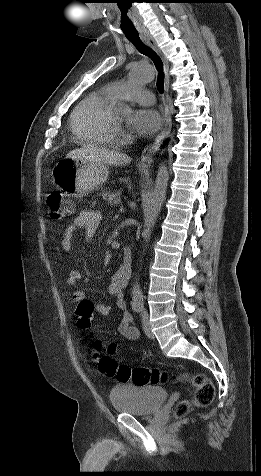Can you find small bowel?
Returning a JSON list of instances; mask_svg holds the SVG:
<instances>
[{"instance_id": "small-bowel-1", "label": "small bowel", "mask_w": 261, "mask_h": 476, "mask_svg": "<svg viewBox=\"0 0 261 476\" xmlns=\"http://www.w3.org/2000/svg\"><path fill=\"white\" fill-rule=\"evenodd\" d=\"M101 222V214L93 210H85L76 216L74 221L69 224L63 234L61 247L65 252L72 249V240L77 231L83 229L86 237L90 238L98 228ZM130 274L126 273L122 266L113 274L108 286L109 294L114 298V306L121 312V319L118 323L117 330L119 334L131 341H137L140 338L138 329L133 325V317L127 311L124 290L127 286ZM81 272L77 269H72L66 279V284L74 287L81 280ZM72 299L80 303L86 300L82 291H75ZM96 311L103 315L109 316L112 312V306L106 303H99L95 306Z\"/></svg>"}]
</instances>
